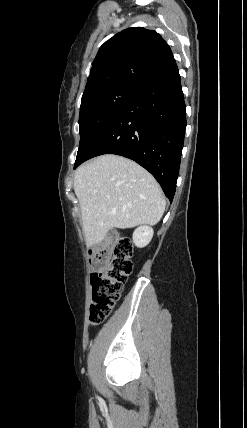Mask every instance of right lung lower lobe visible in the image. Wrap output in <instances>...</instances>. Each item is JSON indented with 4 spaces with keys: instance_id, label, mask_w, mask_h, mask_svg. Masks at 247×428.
<instances>
[{
    "instance_id": "obj_1",
    "label": "right lung lower lobe",
    "mask_w": 247,
    "mask_h": 428,
    "mask_svg": "<svg viewBox=\"0 0 247 428\" xmlns=\"http://www.w3.org/2000/svg\"><path fill=\"white\" fill-rule=\"evenodd\" d=\"M186 129L177 65L142 89L100 131L74 168L102 154L130 158L148 170L172 202Z\"/></svg>"
}]
</instances>
